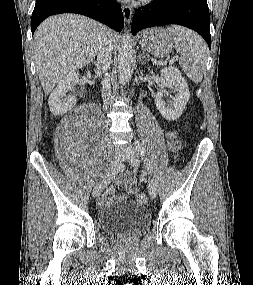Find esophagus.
Masks as SVG:
<instances>
[{
    "mask_svg": "<svg viewBox=\"0 0 253 285\" xmlns=\"http://www.w3.org/2000/svg\"><path fill=\"white\" fill-rule=\"evenodd\" d=\"M122 11H123V16H124L125 22L127 24H129L131 19H132V14H133V11H132L131 7H129L127 5H123L122 6Z\"/></svg>",
    "mask_w": 253,
    "mask_h": 285,
    "instance_id": "obj_1",
    "label": "esophagus"
}]
</instances>
